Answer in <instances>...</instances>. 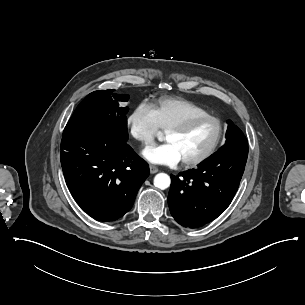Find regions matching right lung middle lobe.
<instances>
[{
  "label": "right lung middle lobe",
  "instance_id": "1",
  "mask_svg": "<svg viewBox=\"0 0 305 305\" xmlns=\"http://www.w3.org/2000/svg\"><path fill=\"white\" fill-rule=\"evenodd\" d=\"M101 90L90 93L78 105L67 123L62 139L74 137H94L108 141L127 142L128 107H120L128 95Z\"/></svg>",
  "mask_w": 305,
  "mask_h": 305
}]
</instances>
